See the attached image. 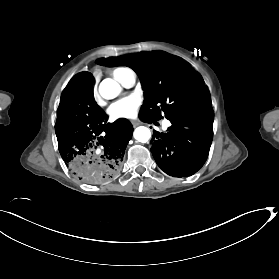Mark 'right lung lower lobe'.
Instances as JSON below:
<instances>
[{"mask_svg": "<svg viewBox=\"0 0 279 279\" xmlns=\"http://www.w3.org/2000/svg\"><path fill=\"white\" fill-rule=\"evenodd\" d=\"M92 74L75 75L64 89L55 124L59 152L70 171L87 184L113 180L120 172L133 127L126 119L107 123L94 101Z\"/></svg>", "mask_w": 279, "mask_h": 279, "instance_id": "1", "label": "right lung lower lobe"}]
</instances>
